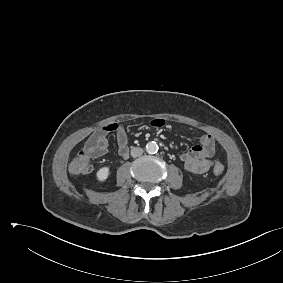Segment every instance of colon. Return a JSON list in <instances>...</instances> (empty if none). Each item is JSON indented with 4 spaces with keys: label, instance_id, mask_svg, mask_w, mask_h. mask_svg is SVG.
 Masks as SVG:
<instances>
[{
    "label": "colon",
    "instance_id": "colon-1",
    "mask_svg": "<svg viewBox=\"0 0 283 283\" xmlns=\"http://www.w3.org/2000/svg\"><path fill=\"white\" fill-rule=\"evenodd\" d=\"M91 168L90 155L84 150L79 151L69 163V171L71 174H85L88 173ZM224 170L223 164L219 162L214 163L212 171L215 175L219 176L223 174Z\"/></svg>",
    "mask_w": 283,
    "mask_h": 283
}]
</instances>
